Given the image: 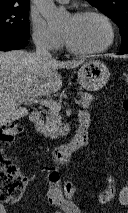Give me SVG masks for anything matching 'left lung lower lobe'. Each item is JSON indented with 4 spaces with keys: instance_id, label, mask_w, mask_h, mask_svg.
Returning <instances> with one entry per match:
<instances>
[{
    "instance_id": "1",
    "label": "left lung lower lobe",
    "mask_w": 128,
    "mask_h": 213,
    "mask_svg": "<svg viewBox=\"0 0 128 213\" xmlns=\"http://www.w3.org/2000/svg\"><path fill=\"white\" fill-rule=\"evenodd\" d=\"M120 55L122 54H128V49L127 50H119V53Z\"/></svg>"
}]
</instances>
